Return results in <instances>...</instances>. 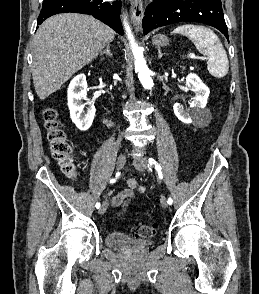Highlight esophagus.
Segmentation results:
<instances>
[{
    "label": "esophagus",
    "instance_id": "obj_1",
    "mask_svg": "<svg viewBox=\"0 0 259 294\" xmlns=\"http://www.w3.org/2000/svg\"><path fill=\"white\" fill-rule=\"evenodd\" d=\"M143 2L142 0H131V20L137 31L142 30Z\"/></svg>",
    "mask_w": 259,
    "mask_h": 294
}]
</instances>
